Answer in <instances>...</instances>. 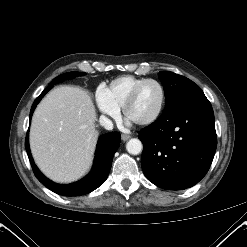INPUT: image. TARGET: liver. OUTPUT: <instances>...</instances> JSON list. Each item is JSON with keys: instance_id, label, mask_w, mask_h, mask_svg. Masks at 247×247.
Returning a JSON list of instances; mask_svg holds the SVG:
<instances>
[{"instance_id": "liver-1", "label": "liver", "mask_w": 247, "mask_h": 247, "mask_svg": "<svg viewBox=\"0 0 247 247\" xmlns=\"http://www.w3.org/2000/svg\"><path fill=\"white\" fill-rule=\"evenodd\" d=\"M90 94L61 86L37 106L31 123L30 147L40 170L50 179L69 183L89 169L98 137Z\"/></svg>"}]
</instances>
